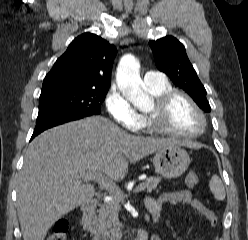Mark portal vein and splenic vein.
Instances as JSON below:
<instances>
[{
  "mask_svg": "<svg viewBox=\"0 0 248 240\" xmlns=\"http://www.w3.org/2000/svg\"><path fill=\"white\" fill-rule=\"evenodd\" d=\"M87 175L90 177V179H93L97 181L100 185H102L112 196L114 195H120L123 193L121 192L120 188L116 185V183L106 177L103 173L100 172H91L87 173ZM144 185L140 183L135 189L134 192H140L144 189Z\"/></svg>",
  "mask_w": 248,
  "mask_h": 240,
  "instance_id": "obj_1",
  "label": "portal vein and splenic vein"
}]
</instances>
